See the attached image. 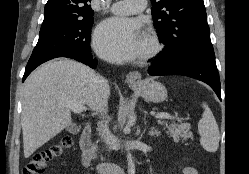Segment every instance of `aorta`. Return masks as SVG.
Masks as SVG:
<instances>
[{"label": "aorta", "mask_w": 249, "mask_h": 174, "mask_svg": "<svg viewBox=\"0 0 249 174\" xmlns=\"http://www.w3.org/2000/svg\"><path fill=\"white\" fill-rule=\"evenodd\" d=\"M126 129L129 130L128 127H126ZM127 160H128V174H135V165L129 150L127 151Z\"/></svg>", "instance_id": "1"}]
</instances>
